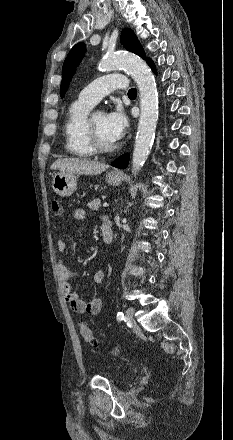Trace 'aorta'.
I'll return each mask as SVG.
<instances>
[{
  "mask_svg": "<svg viewBox=\"0 0 233 440\" xmlns=\"http://www.w3.org/2000/svg\"><path fill=\"white\" fill-rule=\"evenodd\" d=\"M106 71L121 68L135 80L140 92V118L132 156V172L137 174L152 147L158 119V93L148 65L133 54H114L101 63Z\"/></svg>",
  "mask_w": 233,
  "mask_h": 440,
  "instance_id": "obj_1",
  "label": "aorta"
}]
</instances>
